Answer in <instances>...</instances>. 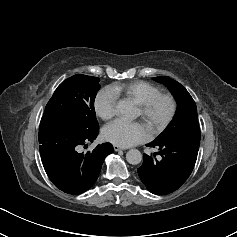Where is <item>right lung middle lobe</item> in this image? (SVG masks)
Wrapping results in <instances>:
<instances>
[{
	"label": "right lung middle lobe",
	"instance_id": "obj_1",
	"mask_svg": "<svg viewBox=\"0 0 237 237\" xmlns=\"http://www.w3.org/2000/svg\"><path fill=\"white\" fill-rule=\"evenodd\" d=\"M99 78L74 75L63 81L45 107L40 124L62 126L75 134H88L99 129L94 100Z\"/></svg>",
	"mask_w": 237,
	"mask_h": 237
}]
</instances>
